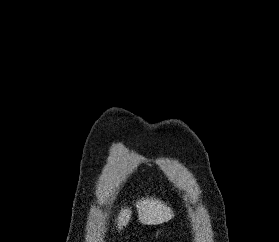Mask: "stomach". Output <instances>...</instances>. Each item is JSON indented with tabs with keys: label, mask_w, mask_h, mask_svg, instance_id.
Here are the masks:
<instances>
[{
	"label": "stomach",
	"mask_w": 279,
	"mask_h": 242,
	"mask_svg": "<svg viewBox=\"0 0 279 242\" xmlns=\"http://www.w3.org/2000/svg\"><path fill=\"white\" fill-rule=\"evenodd\" d=\"M162 231H160V230H158L157 232H156V234L158 235V234H160Z\"/></svg>",
	"instance_id": "1"
}]
</instances>
